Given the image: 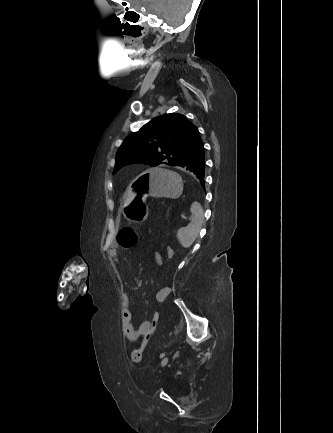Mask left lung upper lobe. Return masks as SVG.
I'll use <instances>...</instances> for the list:
<instances>
[{
	"mask_svg": "<svg viewBox=\"0 0 333 433\" xmlns=\"http://www.w3.org/2000/svg\"><path fill=\"white\" fill-rule=\"evenodd\" d=\"M201 143L198 129L184 115L158 116L125 139L117 152L114 173L135 162L178 166Z\"/></svg>",
	"mask_w": 333,
	"mask_h": 433,
	"instance_id": "left-lung-upper-lobe-1",
	"label": "left lung upper lobe"
}]
</instances>
